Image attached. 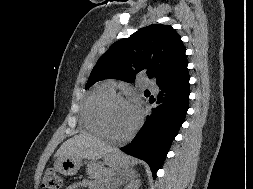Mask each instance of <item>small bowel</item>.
Returning a JSON list of instances; mask_svg holds the SVG:
<instances>
[{
	"mask_svg": "<svg viewBox=\"0 0 253 189\" xmlns=\"http://www.w3.org/2000/svg\"><path fill=\"white\" fill-rule=\"evenodd\" d=\"M81 188L93 189V184L89 181H82L80 183L71 184L66 189H81Z\"/></svg>",
	"mask_w": 253,
	"mask_h": 189,
	"instance_id": "small-bowel-1",
	"label": "small bowel"
}]
</instances>
